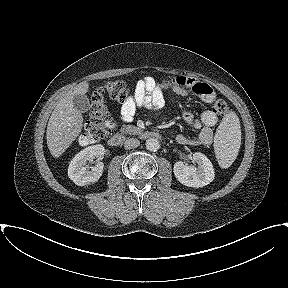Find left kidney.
I'll return each mask as SVG.
<instances>
[{"instance_id":"left-kidney-1","label":"left kidney","mask_w":288,"mask_h":288,"mask_svg":"<svg viewBox=\"0 0 288 288\" xmlns=\"http://www.w3.org/2000/svg\"><path fill=\"white\" fill-rule=\"evenodd\" d=\"M192 158L198 164V168L178 161L173 168L175 177L180 183L188 187L199 188L208 185L215 177L211 161L200 152H195Z\"/></svg>"}]
</instances>
